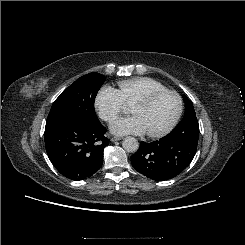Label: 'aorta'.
Segmentation results:
<instances>
[{
  "label": "aorta",
  "instance_id": "obj_1",
  "mask_svg": "<svg viewBox=\"0 0 245 245\" xmlns=\"http://www.w3.org/2000/svg\"><path fill=\"white\" fill-rule=\"evenodd\" d=\"M122 146L125 151L134 153L138 150L139 143L138 140L134 137H126L122 142Z\"/></svg>",
  "mask_w": 245,
  "mask_h": 245
}]
</instances>
